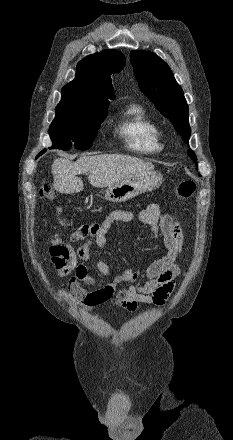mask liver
Masks as SVG:
<instances>
[{
    "label": "liver",
    "instance_id": "6515ba94",
    "mask_svg": "<svg viewBox=\"0 0 233 440\" xmlns=\"http://www.w3.org/2000/svg\"><path fill=\"white\" fill-rule=\"evenodd\" d=\"M154 169L150 162L118 154L83 156L75 162L55 159L52 164L53 187L65 194L78 193L84 189L78 175L89 172L88 180L93 187L103 188L123 179Z\"/></svg>",
    "mask_w": 233,
    "mask_h": 440
}]
</instances>
